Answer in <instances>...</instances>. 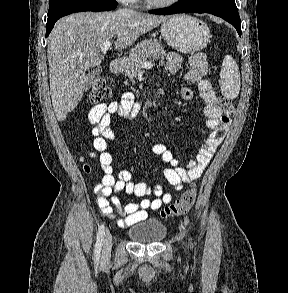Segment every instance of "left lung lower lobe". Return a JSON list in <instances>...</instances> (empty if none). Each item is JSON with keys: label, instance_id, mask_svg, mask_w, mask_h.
<instances>
[{"label": "left lung lower lobe", "instance_id": "0a47b994", "mask_svg": "<svg viewBox=\"0 0 288 293\" xmlns=\"http://www.w3.org/2000/svg\"><path fill=\"white\" fill-rule=\"evenodd\" d=\"M149 13L158 15H170L177 13H210L221 17L232 24L236 28L239 36H241V20L237 7H229L217 2H204L198 4L186 0H179V2L168 8L151 10Z\"/></svg>", "mask_w": 288, "mask_h": 293}]
</instances>
